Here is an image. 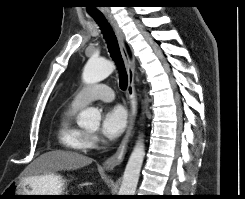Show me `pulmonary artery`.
I'll list each match as a JSON object with an SVG mask.
<instances>
[{
    "instance_id": "obj_1",
    "label": "pulmonary artery",
    "mask_w": 245,
    "mask_h": 199,
    "mask_svg": "<svg viewBox=\"0 0 245 199\" xmlns=\"http://www.w3.org/2000/svg\"><path fill=\"white\" fill-rule=\"evenodd\" d=\"M114 93L110 87L104 84H94L77 91L73 97L72 104L84 107L94 100L112 101Z\"/></svg>"
}]
</instances>
